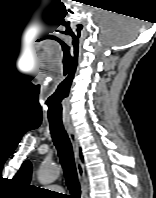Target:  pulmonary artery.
Segmentation results:
<instances>
[{
  "label": "pulmonary artery",
  "instance_id": "1",
  "mask_svg": "<svg viewBox=\"0 0 156 198\" xmlns=\"http://www.w3.org/2000/svg\"><path fill=\"white\" fill-rule=\"evenodd\" d=\"M51 190L62 191V188L60 186H51Z\"/></svg>",
  "mask_w": 156,
  "mask_h": 198
}]
</instances>
